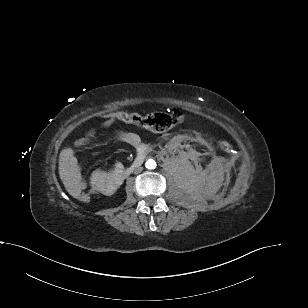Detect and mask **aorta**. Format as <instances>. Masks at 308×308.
I'll use <instances>...</instances> for the list:
<instances>
[{"label":"aorta","instance_id":"762f6f07","mask_svg":"<svg viewBox=\"0 0 308 308\" xmlns=\"http://www.w3.org/2000/svg\"><path fill=\"white\" fill-rule=\"evenodd\" d=\"M147 169H155L156 168V162L153 159L147 160L145 164Z\"/></svg>","mask_w":308,"mask_h":308}]
</instances>
